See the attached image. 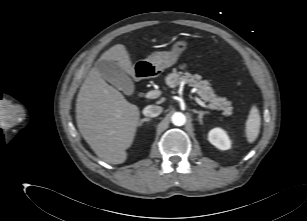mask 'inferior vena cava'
Listing matches in <instances>:
<instances>
[{
	"label": "inferior vena cava",
	"mask_w": 307,
	"mask_h": 221,
	"mask_svg": "<svg viewBox=\"0 0 307 221\" xmlns=\"http://www.w3.org/2000/svg\"><path fill=\"white\" fill-rule=\"evenodd\" d=\"M163 108L157 105H148L143 109V114L147 117H156L161 114Z\"/></svg>",
	"instance_id": "1"
}]
</instances>
